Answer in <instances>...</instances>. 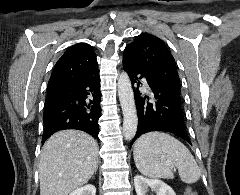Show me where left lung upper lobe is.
I'll use <instances>...</instances> for the list:
<instances>
[{
    "instance_id": "5c2ea615",
    "label": "left lung upper lobe",
    "mask_w": 240,
    "mask_h": 195,
    "mask_svg": "<svg viewBox=\"0 0 240 195\" xmlns=\"http://www.w3.org/2000/svg\"><path fill=\"white\" fill-rule=\"evenodd\" d=\"M124 59L146 72L155 81L180 94V78L172 54L154 35L142 33L124 49Z\"/></svg>"
}]
</instances>
